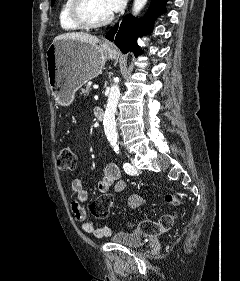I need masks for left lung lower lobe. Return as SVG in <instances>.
<instances>
[{"mask_svg":"<svg viewBox=\"0 0 240 281\" xmlns=\"http://www.w3.org/2000/svg\"><path fill=\"white\" fill-rule=\"evenodd\" d=\"M168 0H152L150 8L144 18L135 20L127 15L121 24L115 25L106 35V38L114 41L123 53L128 51L139 55L137 37L147 34L152 30L154 20L166 11L165 4Z\"/></svg>","mask_w":240,"mask_h":281,"instance_id":"left-lung-lower-lobe-1","label":"left lung lower lobe"}]
</instances>
